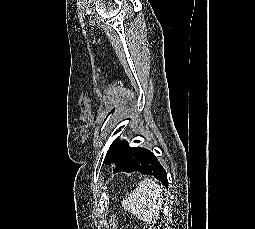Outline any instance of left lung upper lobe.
Listing matches in <instances>:
<instances>
[{"label":"left lung upper lobe","mask_w":255,"mask_h":229,"mask_svg":"<svg viewBox=\"0 0 255 229\" xmlns=\"http://www.w3.org/2000/svg\"><path fill=\"white\" fill-rule=\"evenodd\" d=\"M128 144L126 141L119 142L117 138L109 147V150L105 156L104 163L110 164L113 158L121 155L123 151L127 148Z\"/></svg>","instance_id":"1"}]
</instances>
